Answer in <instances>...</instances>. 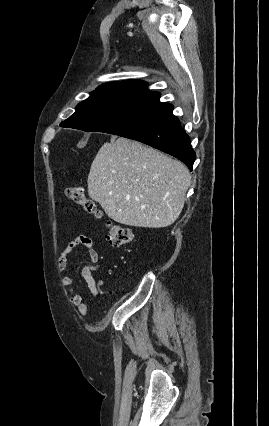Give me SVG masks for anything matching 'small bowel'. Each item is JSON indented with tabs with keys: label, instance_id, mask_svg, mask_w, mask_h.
Returning a JSON list of instances; mask_svg holds the SVG:
<instances>
[{
	"label": "small bowel",
	"instance_id": "1",
	"mask_svg": "<svg viewBox=\"0 0 269 426\" xmlns=\"http://www.w3.org/2000/svg\"><path fill=\"white\" fill-rule=\"evenodd\" d=\"M81 246L87 254L90 264L84 266L81 270V276L85 281L92 297H97L99 294V287L102 285L101 281L94 278L93 273L99 268L98 254L93 247V241L90 237L81 235L68 243L62 251L58 259V269L63 273L62 285L69 292V301L77 308L80 315H87L90 312V305L83 301L82 296L75 291L73 287V278L68 273V255L77 247Z\"/></svg>",
	"mask_w": 269,
	"mask_h": 426
}]
</instances>
